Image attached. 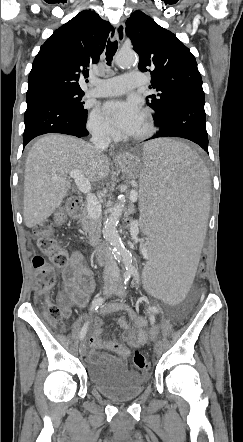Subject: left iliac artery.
<instances>
[{"label": "left iliac artery", "mask_w": 243, "mask_h": 442, "mask_svg": "<svg viewBox=\"0 0 243 442\" xmlns=\"http://www.w3.org/2000/svg\"><path fill=\"white\" fill-rule=\"evenodd\" d=\"M132 274L135 277V279L138 277L137 271H133ZM147 311L150 314V316H152V314H158L160 312V309L154 306H149L147 307Z\"/></svg>", "instance_id": "left-iliac-artery-1"}]
</instances>
